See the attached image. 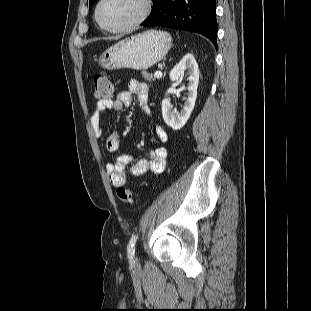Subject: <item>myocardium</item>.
<instances>
[{"mask_svg":"<svg viewBox=\"0 0 311 311\" xmlns=\"http://www.w3.org/2000/svg\"><path fill=\"white\" fill-rule=\"evenodd\" d=\"M105 0H99L96 7H95V12H94V16H95V20L98 23V25L105 31L107 32H111V33H126V32H130L134 29H136L138 26H140L148 17L149 11H150V2L149 0H138L139 4H140V11L139 14L137 15V17L132 20L130 23H128L127 25L121 26V27H117V28H113V27H109L106 24H104L101 19H100V8L101 5L104 3Z\"/></svg>","mask_w":311,"mask_h":311,"instance_id":"obj_1","label":"myocardium"}]
</instances>
